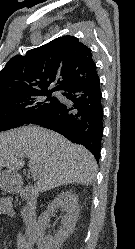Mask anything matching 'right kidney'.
Here are the masks:
<instances>
[{"label": "right kidney", "instance_id": "1", "mask_svg": "<svg viewBox=\"0 0 135 249\" xmlns=\"http://www.w3.org/2000/svg\"><path fill=\"white\" fill-rule=\"evenodd\" d=\"M63 207L66 214L62 217V227L54 235L46 234V227L51 214L59 207ZM79 217L78 197L72 191L60 193L42 213L36 224V238L38 249H60L62 243L74 232Z\"/></svg>", "mask_w": 135, "mask_h": 249}]
</instances>
